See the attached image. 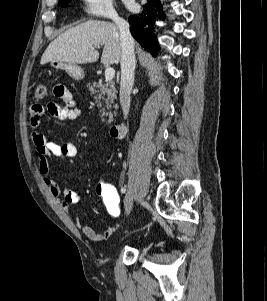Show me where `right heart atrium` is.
<instances>
[{
	"instance_id": "d8ad5b80",
	"label": "right heart atrium",
	"mask_w": 267,
	"mask_h": 301,
	"mask_svg": "<svg viewBox=\"0 0 267 301\" xmlns=\"http://www.w3.org/2000/svg\"><path fill=\"white\" fill-rule=\"evenodd\" d=\"M84 10L87 14L94 17H104L114 19L116 13L113 0H82Z\"/></svg>"
}]
</instances>
